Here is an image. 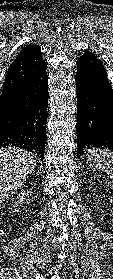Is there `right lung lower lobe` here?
<instances>
[{
  "label": "right lung lower lobe",
  "instance_id": "right-lung-lower-lobe-1",
  "mask_svg": "<svg viewBox=\"0 0 113 279\" xmlns=\"http://www.w3.org/2000/svg\"><path fill=\"white\" fill-rule=\"evenodd\" d=\"M48 94L44 67L0 110V148L15 146L43 158Z\"/></svg>",
  "mask_w": 113,
  "mask_h": 279
}]
</instances>
